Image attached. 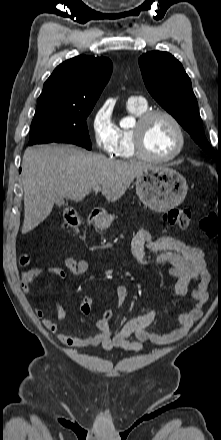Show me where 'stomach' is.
Instances as JSON below:
<instances>
[{"mask_svg":"<svg viewBox=\"0 0 221 440\" xmlns=\"http://www.w3.org/2000/svg\"><path fill=\"white\" fill-rule=\"evenodd\" d=\"M136 193L139 199L156 212H165L183 202L188 185L186 179L175 169L165 165H154L136 177ZM114 215L96 219L95 225L105 229L114 220Z\"/></svg>","mask_w":221,"mask_h":440,"instance_id":"obj_1","label":"stomach"}]
</instances>
